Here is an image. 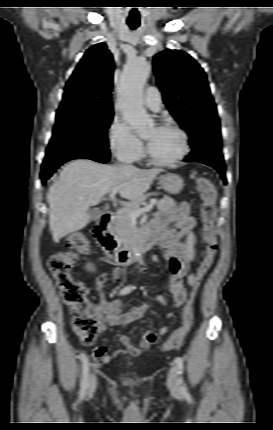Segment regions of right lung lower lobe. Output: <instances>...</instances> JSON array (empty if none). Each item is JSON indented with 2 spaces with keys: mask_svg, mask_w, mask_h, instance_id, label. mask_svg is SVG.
Instances as JSON below:
<instances>
[{
  "mask_svg": "<svg viewBox=\"0 0 273 430\" xmlns=\"http://www.w3.org/2000/svg\"><path fill=\"white\" fill-rule=\"evenodd\" d=\"M81 158L91 159V160H94L97 162L106 163L110 159V153H91V154L77 155V156H73V157H69L66 159L56 161L50 165L43 166L42 172H41L42 182L45 183L46 180L54 173V171L63 163H65L69 160L81 159Z\"/></svg>",
  "mask_w": 273,
  "mask_h": 430,
  "instance_id": "1",
  "label": "right lung lower lobe"
}]
</instances>
